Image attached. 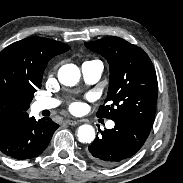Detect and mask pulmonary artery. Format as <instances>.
<instances>
[{
	"label": "pulmonary artery",
	"instance_id": "obj_1",
	"mask_svg": "<svg viewBox=\"0 0 183 183\" xmlns=\"http://www.w3.org/2000/svg\"><path fill=\"white\" fill-rule=\"evenodd\" d=\"M81 71L83 78L87 84L96 83L102 76L103 64L99 60L87 61L82 64ZM59 101L54 98H40L34 102V109L36 112L52 109L57 107ZM114 126L113 122L107 124L108 128Z\"/></svg>",
	"mask_w": 183,
	"mask_h": 183
}]
</instances>
